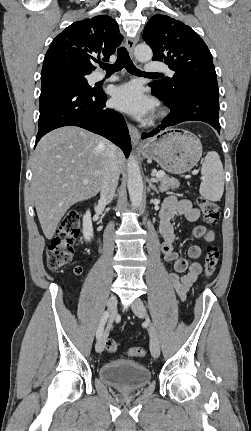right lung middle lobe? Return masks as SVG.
Returning <instances> with one entry per match:
<instances>
[{
  "instance_id": "dd1d6c3e",
  "label": "right lung middle lobe",
  "mask_w": 251,
  "mask_h": 431,
  "mask_svg": "<svg viewBox=\"0 0 251 431\" xmlns=\"http://www.w3.org/2000/svg\"><path fill=\"white\" fill-rule=\"evenodd\" d=\"M90 73L91 71L85 70L70 62L55 61L42 69L41 79L48 77H65L71 79L72 81L76 82L78 85L86 89H92L88 85L86 79V76Z\"/></svg>"
}]
</instances>
